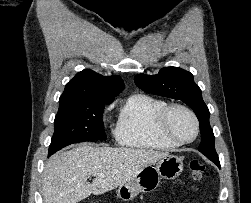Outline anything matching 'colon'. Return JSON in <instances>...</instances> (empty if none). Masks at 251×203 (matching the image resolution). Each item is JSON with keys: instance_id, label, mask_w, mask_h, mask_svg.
Returning <instances> with one entry per match:
<instances>
[{"instance_id": "obj_1", "label": "colon", "mask_w": 251, "mask_h": 203, "mask_svg": "<svg viewBox=\"0 0 251 203\" xmlns=\"http://www.w3.org/2000/svg\"><path fill=\"white\" fill-rule=\"evenodd\" d=\"M192 177L195 181H199L204 172H205V165L201 161L198 160H192L189 164Z\"/></svg>"}]
</instances>
